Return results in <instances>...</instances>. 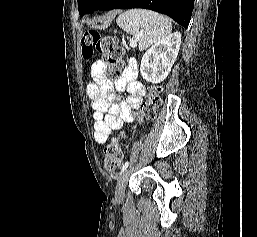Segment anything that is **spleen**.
Here are the masks:
<instances>
[{
	"label": "spleen",
	"mask_w": 257,
	"mask_h": 237,
	"mask_svg": "<svg viewBox=\"0 0 257 237\" xmlns=\"http://www.w3.org/2000/svg\"><path fill=\"white\" fill-rule=\"evenodd\" d=\"M116 22L125 32L139 35L140 51L161 41L172 30L171 22L167 18L144 9L126 11L119 15Z\"/></svg>",
	"instance_id": "spleen-1"
}]
</instances>
